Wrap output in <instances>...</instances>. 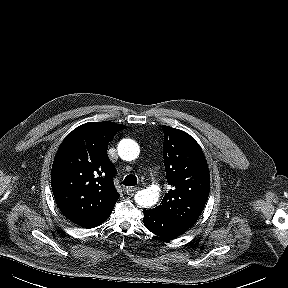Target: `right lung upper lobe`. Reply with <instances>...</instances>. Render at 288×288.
<instances>
[{
	"mask_svg": "<svg viewBox=\"0 0 288 288\" xmlns=\"http://www.w3.org/2000/svg\"><path fill=\"white\" fill-rule=\"evenodd\" d=\"M125 126L90 122L74 129L55 156L51 185L63 215L78 225L97 219L114 208L119 198L116 169L107 155L108 143Z\"/></svg>",
	"mask_w": 288,
	"mask_h": 288,
	"instance_id": "right-lung-upper-lobe-1",
	"label": "right lung upper lobe"
}]
</instances>
